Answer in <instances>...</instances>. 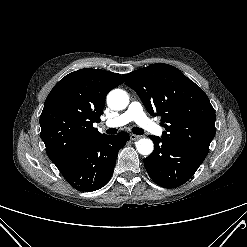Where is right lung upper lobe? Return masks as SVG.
<instances>
[{"mask_svg":"<svg viewBox=\"0 0 247 247\" xmlns=\"http://www.w3.org/2000/svg\"><path fill=\"white\" fill-rule=\"evenodd\" d=\"M122 83L120 74L85 68L66 75L51 90L40 117L41 139L59 170L105 135L93 123L101 121L107 93Z\"/></svg>","mask_w":247,"mask_h":247,"instance_id":"1","label":"right lung upper lobe"}]
</instances>
